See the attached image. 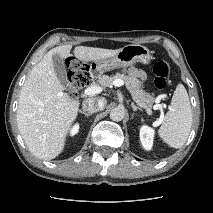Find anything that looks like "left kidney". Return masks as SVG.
Listing matches in <instances>:
<instances>
[{
	"mask_svg": "<svg viewBox=\"0 0 213 213\" xmlns=\"http://www.w3.org/2000/svg\"><path fill=\"white\" fill-rule=\"evenodd\" d=\"M154 130L149 126H142L140 129V141L144 149L151 150L153 146Z\"/></svg>",
	"mask_w": 213,
	"mask_h": 213,
	"instance_id": "left-kidney-1",
	"label": "left kidney"
}]
</instances>
